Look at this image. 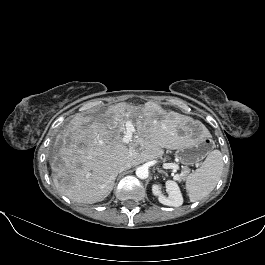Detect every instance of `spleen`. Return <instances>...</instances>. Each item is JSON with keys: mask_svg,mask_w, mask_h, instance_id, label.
I'll return each instance as SVG.
<instances>
[{"mask_svg": "<svg viewBox=\"0 0 265 265\" xmlns=\"http://www.w3.org/2000/svg\"><path fill=\"white\" fill-rule=\"evenodd\" d=\"M222 154L214 150L208 154L201 167L186 178V190L191 202L206 197L216 187L223 171Z\"/></svg>", "mask_w": 265, "mask_h": 265, "instance_id": "3e777b00", "label": "spleen"}]
</instances>
